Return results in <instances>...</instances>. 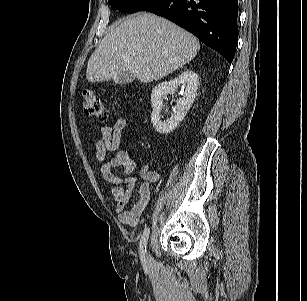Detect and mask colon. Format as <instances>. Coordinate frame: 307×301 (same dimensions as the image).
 <instances>
[{"label":"colon","mask_w":307,"mask_h":301,"mask_svg":"<svg viewBox=\"0 0 307 301\" xmlns=\"http://www.w3.org/2000/svg\"><path fill=\"white\" fill-rule=\"evenodd\" d=\"M83 107L87 115L98 120L105 121L108 118L107 109L100 96L95 92H85L83 95Z\"/></svg>","instance_id":"5ec220e1"}]
</instances>
